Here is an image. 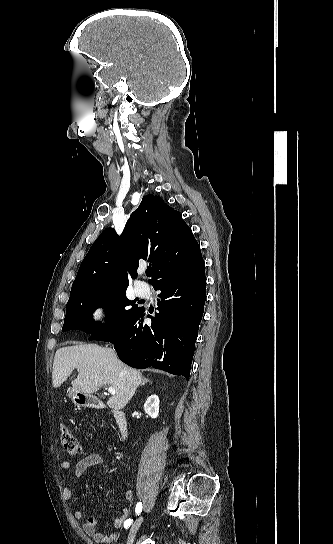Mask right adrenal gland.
Returning <instances> with one entry per match:
<instances>
[{"mask_svg": "<svg viewBox=\"0 0 333 544\" xmlns=\"http://www.w3.org/2000/svg\"><path fill=\"white\" fill-rule=\"evenodd\" d=\"M149 382H150L149 380L145 379L144 382L142 383V385L145 384V383H149Z\"/></svg>", "mask_w": 333, "mask_h": 544, "instance_id": "obj_1", "label": "right adrenal gland"}]
</instances>
